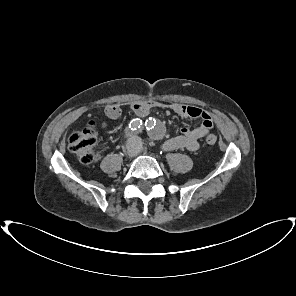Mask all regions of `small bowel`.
Wrapping results in <instances>:
<instances>
[{"label": "small bowel", "instance_id": "c3829d8e", "mask_svg": "<svg viewBox=\"0 0 296 296\" xmlns=\"http://www.w3.org/2000/svg\"><path fill=\"white\" fill-rule=\"evenodd\" d=\"M157 107H166L179 116L201 118V124L196 128H182L181 134L171 137L163 144V148L167 151L187 149L189 151H197L200 147V139L205 137L213 128L214 122L211 114L201 108L184 105L179 103L163 104L151 100L138 101L132 105L133 112L138 117H146L150 111ZM105 115L111 120H117L121 117L122 111L118 105L110 104L105 107ZM103 128H107V123L101 124Z\"/></svg>", "mask_w": 296, "mask_h": 296}]
</instances>
